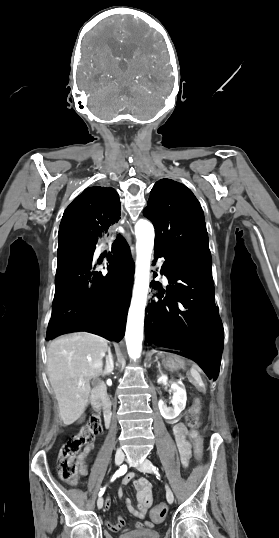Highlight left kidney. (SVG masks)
<instances>
[{"label": "left kidney", "instance_id": "1", "mask_svg": "<svg viewBox=\"0 0 279 538\" xmlns=\"http://www.w3.org/2000/svg\"><path fill=\"white\" fill-rule=\"evenodd\" d=\"M157 382L158 384H168V376L162 374ZM171 390L174 392L173 400L170 402L173 408H168L163 400L158 402L160 414L165 420H174V418H177V416L185 410L186 406L187 396L185 386H181V384H171Z\"/></svg>", "mask_w": 279, "mask_h": 538}]
</instances>
